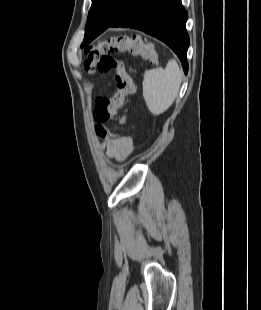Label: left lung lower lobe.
Wrapping results in <instances>:
<instances>
[{"label":"left lung lower lobe","instance_id":"0a47b994","mask_svg":"<svg viewBox=\"0 0 261 310\" xmlns=\"http://www.w3.org/2000/svg\"><path fill=\"white\" fill-rule=\"evenodd\" d=\"M187 12L181 0H124L116 16L108 22H87L84 47L109 27L139 29L165 42L179 57L185 74L189 37Z\"/></svg>","mask_w":261,"mask_h":310}]
</instances>
